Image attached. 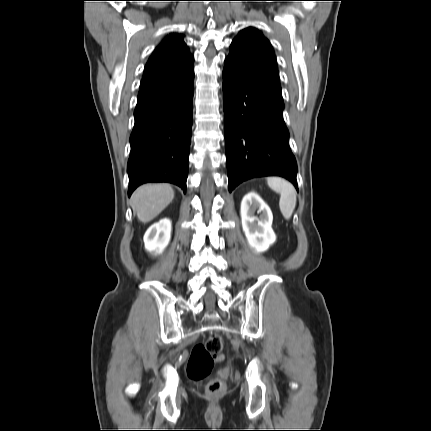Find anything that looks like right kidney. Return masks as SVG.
Listing matches in <instances>:
<instances>
[{"label": "right kidney", "instance_id": "right-kidney-1", "mask_svg": "<svg viewBox=\"0 0 431 431\" xmlns=\"http://www.w3.org/2000/svg\"><path fill=\"white\" fill-rule=\"evenodd\" d=\"M171 238V221L164 218L148 228L144 235L145 249L149 252L162 254Z\"/></svg>", "mask_w": 431, "mask_h": 431}]
</instances>
